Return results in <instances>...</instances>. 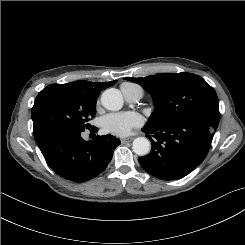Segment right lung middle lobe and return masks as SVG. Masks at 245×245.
Masks as SVG:
<instances>
[{"label":"right lung middle lobe","instance_id":"1","mask_svg":"<svg viewBox=\"0 0 245 245\" xmlns=\"http://www.w3.org/2000/svg\"><path fill=\"white\" fill-rule=\"evenodd\" d=\"M97 97L67 84H51L39 92L31 110L35 141L42 142L53 132L91 129L88 121L95 116Z\"/></svg>","mask_w":245,"mask_h":245}]
</instances>
